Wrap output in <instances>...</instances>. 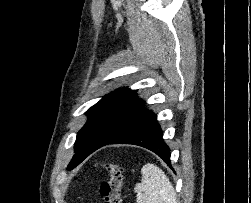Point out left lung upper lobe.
Segmentation results:
<instances>
[{
	"mask_svg": "<svg viewBox=\"0 0 251 203\" xmlns=\"http://www.w3.org/2000/svg\"><path fill=\"white\" fill-rule=\"evenodd\" d=\"M146 111L143 101L128 88L104 96L86 112L88 121L77 133L75 155L67 169L76 167Z\"/></svg>",
	"mask_w": 251,
	"mask_h": 203,
	"instance_id": "left-lung-upper-lobe-1",
	"label": "left lung upper lobe"
}]
</instances>
